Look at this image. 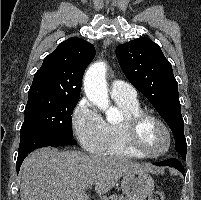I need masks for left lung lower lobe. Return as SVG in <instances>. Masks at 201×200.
Returning a JSON list of instances; mask_svg holds the SVG:
<instances>
[{"mask_svg":"<svg viewBox=\"0 0 201 200\" xmlns=\"http://www.w3.org/2000/svg\"><path fill=\"white\" fill-rule=\"evenodd\" d=\"M153 164L157 165V166H171V167H174L184 175V167L181 164V162L176 158H171V159L164 160V161L157 162V163H153Z\"/></svg>","mask_w":201,"mask_h":200,"instance_id":"1","label":"left lung lower lobe"}]
</instances>
